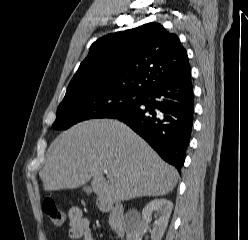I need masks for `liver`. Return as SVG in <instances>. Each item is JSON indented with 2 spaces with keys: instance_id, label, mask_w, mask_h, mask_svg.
Masks as SVG:
<instances>
[{
  "instance_id": "1",
  "label": "liver",
  "mask_w": 248,
  "mask_h": 240,
  "mask_svg": "<svg viewBox=\"0 0 248 240\" xmlns=\"http://www.w3.org/2000/svg\"><path fill=\"white\" fill-rule=\"evenodd\" d=\"M39 176L44 191L74 189L92 179L99 200L114 204L166 195L179 175L127 125L95 119L74 125L53 141Z\"/></svg>"
}]
</instances>
